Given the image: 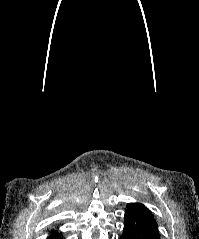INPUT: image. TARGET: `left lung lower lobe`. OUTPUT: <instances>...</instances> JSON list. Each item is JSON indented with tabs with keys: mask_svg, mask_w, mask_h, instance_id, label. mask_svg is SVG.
I'll return each mask as SVG.
<instances>
[{
	"mask_svg": "<svg viewBox=\"0 0 199 239\" xmlns=\"http://www.w3.org/2000/svg\"><path fill=\"white\" fill-rule=\"evenodd\" d=\"M119 239H160L157 223L139 212L126 210L124 229Z\"/></svg>",
	"mask_w": 199,
	"mask_h": 239,
	"instance_id": "obj_1",
	"label": "left lung lower lobe"
}]
</instances>
